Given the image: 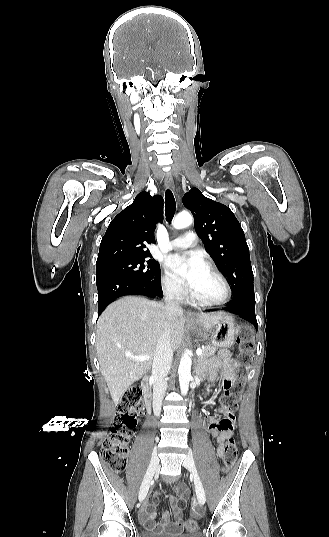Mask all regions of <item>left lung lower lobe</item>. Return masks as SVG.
<instances>
[{"mask_svg":"<svg viewBox=\"0 0 329 537\" xmlns=\"http://www.w3.org/2000/svg\"><path fill=\"white\" fill-rule=\"evenodd\" d=\"M223 310L242 317L256 329L258 328L255 315V301H251L249 299L232 301L226 307H224Z\"/></svg>","mask_w":329,"mask_h":537,"instance_id":"0a47b994","label":"left lung lower lobe"}]
</instances>
